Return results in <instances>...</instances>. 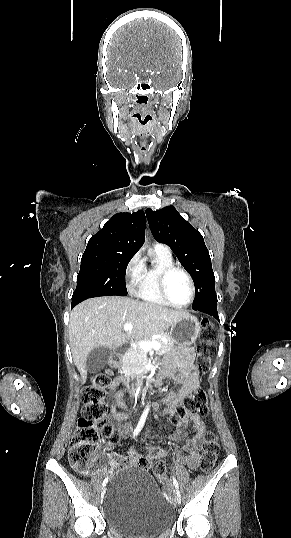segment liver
Returning <instances> with one entry per match:
<instances>
[{"mask_svg": "<svg viewBox=\"0 0 291 538\" xmlns=\"http://www.w3.org/2000/svg\"><path fill=\"white\" fill-rule=\"evenodd\" d=\"M186 314L129 297H98L81 302L70 313L69 338L82 382H86V359L93 349H117L128 340L163 333ZM125 323H131L132 329L123 330Z\"/></svg>", "mask_w": 291, "mask_h": 538, "instance_id": "6515ba94", "label": "liver"}]
</instances>
